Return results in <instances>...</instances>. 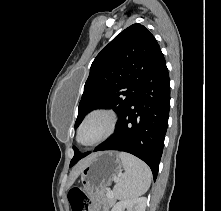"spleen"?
Listing matches in <instances>:
<instances>
[{"label":"spleen","instance_id":"1","mask_svg":"<svg viewBox=\"0 0 221 211\" xmlns=\"http://www.w3.org/2000/svg\"><path fill=\"white\" fill-rule=\"evenodd\" d=\"M125 173L117 181L114 194L117 199L127 200L143 195L150 187L152 173L150 168L131 154H118Z\"/></svg>","mask_w":221,"mask_h":211}]
</instances>
